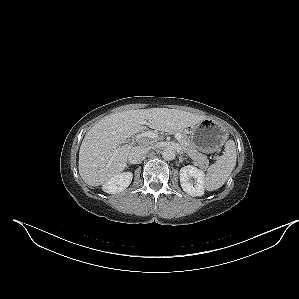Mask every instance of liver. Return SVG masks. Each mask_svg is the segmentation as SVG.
<instances>
[{"label":"liver","instance_id":"6515ba94","mask_svg":"<svg viewBox=\"0 0 299 299\" xmlns=\"http://www.w3.org/2000/svg\"><path fill=\"white\" fill-rule=\"evenodd\" d=\"M206 116L166 108L127 110L102 118L85 135L79 150V174L90 186H99L127 166L129 145L124 140L144 130L179 131L199 124Z\"/></svg>","mask_w":299,"mask_h":299}]
</instances>
